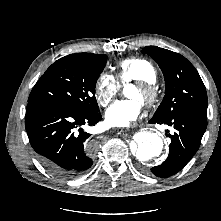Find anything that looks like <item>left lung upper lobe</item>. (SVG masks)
<instances>
[{
    "label": "left lung upper lobe",
    "mask_w": 221,
    "mask_h": 221,
    "mask_svg": "<svg viewBox=\"0 0 221 221\" xmlns=\"http://www.w3.org/2000/svg\"><path fill=\"white\" fill-rule=\"evenodd\" d=\"M142 53L159 64L165 78V96L152 119L163 121L182 113L207 119L206 88L193 65L182 55L156 46H147Z\"/></svg>",
    "instance_id": "5c2ea615"
}]
</instances>
